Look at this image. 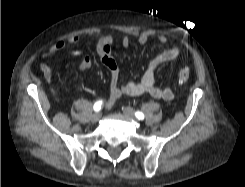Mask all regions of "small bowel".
<instances>
[{"instance_id": "obj_1", "label": "small bowel", "mask_w": 245, "mask_h": 187, "mask_svg": "<svg viewBox=\"0 0 245 187\" xmlns=\"http://www.w3.org/2000/svg\"><path fill=\"white\" fill-rule=\"evenodd\" d=\"M77 38H71L70 43H76ZM137 41L139 44L144 45L149 41V36L147 34L141 33ZM114 38L111 35L103 36L98 43L97 52L101 59V62L106 67L110 74V93L107 101V107H111L116 100L120 97L127 96H140L147 94L156 99L162 100H172L174 98V93L170 88H160L156 85L155 74L158 67L164 63L173 61L180 56V48L177 46L170 47L163 50L158 55H156L147 65V68L142 75L140 81L133 82L129 81L121 84L119 81L120 78V69L119 66L112 56V44ZM157 42L160 45H165L168 42V39L165 35H159L157 37ZM121 44L123 47H128L130 45V38L128 36H123L121 38ZM65 47V41H57L49 50L48 54L50 56L57 55ZM91 66V59L89 56H82L77 64V69L79 71H85ZM40 69L45 77V79L52 85L53 90L58 93L60 87L54 81V74L50 65L46 62H42Z\"/></svg>"}]
</instances>
